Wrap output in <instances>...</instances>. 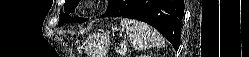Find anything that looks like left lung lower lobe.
Listing matches in <instances>:
<instances>
[{"label":"left lung lower lobe","mask_w":249,"mask_h":57,"mask_svg":"<svg viewBox=\"0 0 249 57\" xmlns=\"http://www.w3.org/2000/svg\"><path fill=\"white\" fill-rule=\"evenodd\" d=\"M184 0H114L101 17H126L155 27L177 50Z\"/></svg>","instance_id":"1"}]
</instances>
